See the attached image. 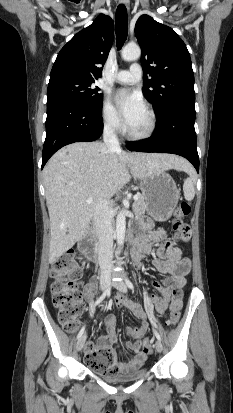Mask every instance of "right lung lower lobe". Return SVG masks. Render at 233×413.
<instances>
[{"label": "right lung lower lobe", "mask_w": 233, "mask_h": 413, "mask_svg": "<svg viewBox=\"0 0 233 413\" xmlns=\"http://www.w3.org/2000/svg\"><path fill=\"white\" fill-rule=\"evenodd\" d=\"M103 132L102 110L94 111L77 101H47L46 139L42 168L61 147L74 142H91Z\"/></svg>", "instance_id": "obj_1"}]
</instances>
